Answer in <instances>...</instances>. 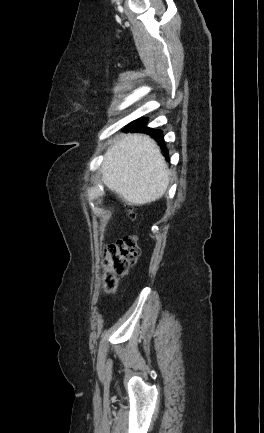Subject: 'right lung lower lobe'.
Returning a JSON list of instances; mask_svg holds the SVG:
<instances>
[{"label": "right lung lower lobe", "instance_id": "right-lung-lower-lobe-1", "mask_svg": "<svg viewBox=\"0 0 264 433\" xmlns=\"http://www.w3.org/2000/svg\"><path fill=\"white\" fill-rule=\"evenodd\" d=\"M146 123H147V118L138 119V120L130 123L125 128V131H129L130 130L131 132H146L147 134L153 136L154 139H156L157 141H159L162 147H165L164 146V141H163L162 131H160V130H154L152 128H148V127L145 126Z\"/></svg>", "mask_w": 264, "mask_h": 433}]
</instances>
